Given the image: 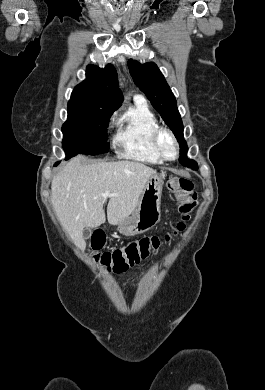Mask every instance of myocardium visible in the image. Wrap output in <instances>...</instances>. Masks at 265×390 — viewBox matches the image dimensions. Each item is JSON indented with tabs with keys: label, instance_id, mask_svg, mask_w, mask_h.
Here are the masks:
<instances>
[{
	"label": "myocardium",
	"instance_id": "f54148a6",
	"mask_svg": "<svg viewBox=\"0 0 265 390\" xmlns=\"http://www.w3.org/2000/svg\"><path fill=\"white\" fill-rule=\"evenodd\" d=\"M164 136L169 137L173 143V146H174V155L173 156H168L163 150L161 141H162V138ZM151 141H152V145H153L155 151L157 152V154L160 156V158L162 160L174 161L178 158L179 143H178L177 138L175 137L174 133L170 129L164 128V127H158L152 133Z\"/></svg>",
	"mask_w": 265,
	"mask_h": 390
}]
</instances>
